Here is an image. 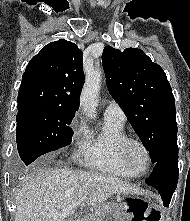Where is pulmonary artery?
Returning a JSON list of instances; mask_svg holds the SVG:
<instances>
[{"label": "pulmonary artery", "instance_id": "1", "mask_svg": "<svg viewBox=\"0 0 190 221\" xmlns=\"http://www.w3.org/2000/svg\"><path fill=\"white\" fill-rule=\"evenodd\" d=\"M105 118L114 119L124 122L126 119L125 113L121 107L114 101H109L104 110Z\"/></svg>", "mask_w": 190, "mask_h": 221}]
</instances>
